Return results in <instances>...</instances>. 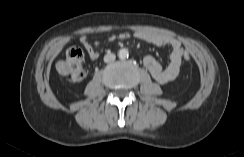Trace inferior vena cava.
Here are the masks:
<instances>
[{
  "label": "inferior vena cava",
  "instance_id": "1",
  "mask_svg": "<svg viewBox=\"0 0 244 157\" xmlns=\"http://www.w3.org/2000/svg\"><path fill=\"white\" fill-rule=\"evenodd\" d=\"M115 58H116V56H115V54H113V53L106 54V55L104 56V62H106V63L112 62V61L115 60Z\"/></svg>",
  "mask_w": 244,
  "mask_h": 157
}]
</instances>
